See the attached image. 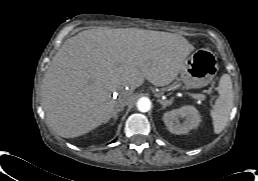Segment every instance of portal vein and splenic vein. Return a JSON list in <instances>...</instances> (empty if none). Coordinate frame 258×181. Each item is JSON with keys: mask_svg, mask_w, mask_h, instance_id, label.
Wrapping results in <instances>:
<instances>
[{"mask_svg": "<svg viewBox=\"0 0 258 181\" xmlns=\"http://www.w3.org/2000/svg\"><path fill=\"white\" fill-rule=\"evenodd\" d=\"M188 96L192 97V98H196L198 99L199 94H191V93H186Z\"/></svg>", "mask_w": 258, "mask_h": 181, "instance_id": "portal-vein-and-splenic-vein-1", "label": "portal vein and splenic vein"}]
</instances>
